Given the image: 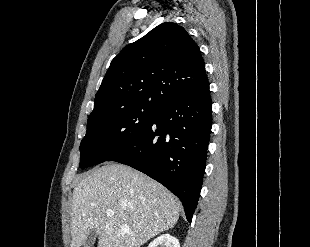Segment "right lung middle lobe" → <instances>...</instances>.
Listing matches in <instances>:
<instances>
[{
    "label": "right lung middle lobe",
    "instance_id": "right-lung-middle-lobe-1",
    "mask_svg": "<svg viewBox=\"0 0 310 247\" xmlns=\"http://www.w3.org/2000/svg\"><path fill=\"white\" fill-rule=\"evenodd\" d=\"M156 111L125 108L89 119L80 144V168L105 162L128 147Z\"/></svg>",
    "mask_w": 310,
    "mask_h": 247
}]
</instances>
